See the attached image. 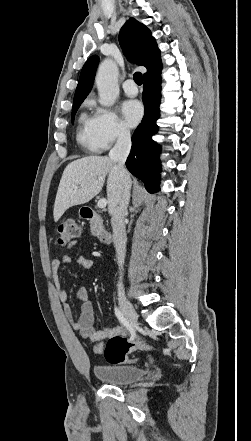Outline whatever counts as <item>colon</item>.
I'll list each match as a JSON object with an SVG mask.
<instances>
[{
	"label": "colon",
	"mask_w": 251,
	"mask_h": 441,
	"mask_svg": "<svg viewBox=\"0 0 251 441\" xmlns=\"http://www.w3.org/2000/svg\"><path fill=\"white\" fill-rule=\"evenodd\" d=\"M81 233L80 226L72 219L61 223L56 229V240L59 245H65ZM96 353L104 355L110 364L134 363L136 359L131 358L129 353L135 350L155 351L156 348L143 341L128 342L122 336H113L105 344H98L94 347Z\"/></svg>",
	"instance_id": "obj_1"
}]
</instances>
